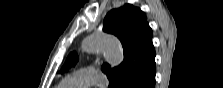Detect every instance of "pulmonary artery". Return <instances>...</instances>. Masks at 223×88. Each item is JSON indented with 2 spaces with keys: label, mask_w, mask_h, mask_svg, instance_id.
Segmentation results:
<instances>
[{
  "label": "pulmonary artery",
  "mask_w": 223,
  "mask_h": 88,
  "mask_svg": "<svg viewBox=\"0 0 223 88\" xmlns=\"http://www.w3.org/2000/svg\"><path fill=\"white\" fill-rule=\"evenodd\" d=\"M107 79L104 74L91 68L77 70L66 76L61 82V88H85L93 85L105 86Z\"/></svg>",
  "instance_id": "obj_1"
}]
</instances>
